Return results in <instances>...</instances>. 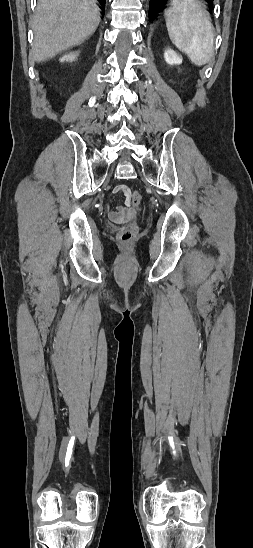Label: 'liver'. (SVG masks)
<instances>
[{
	"label": "liver",
	"instance_id": "6515ba94",
	"mask_svg": "<svg viewBox=\"0 0 253 548\" xmlns=\"http://www.w3.org/2000/svg\"><path fill=\"white\" fill-rule=\"evenodd\" d=\"M99 23L96 0H38L33 18L34 61L44 62L83 43Z\"/></svg>",
	"mask_w": 253,
	"mask_h": 548
}]
</instances>
